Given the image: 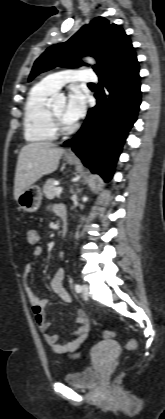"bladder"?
I'll return each mask as SVG.
<instances>
[{
    "label": "bladder",
    "instance_id": "1",
    "mask_svg": "<svg viewBox=\"0 0 165 419\" xmlns=\"http://www.w3.org/2000/svg\"><path fill=\"white\" fill-rule=\"evenodd\" d=\"M99 380V374L93 367H86L80 371L67 373L64 381L77 388H92Z\"/></svg>",
    "mask_w": 165,
    "mask_h": 419
}]
</instances>
